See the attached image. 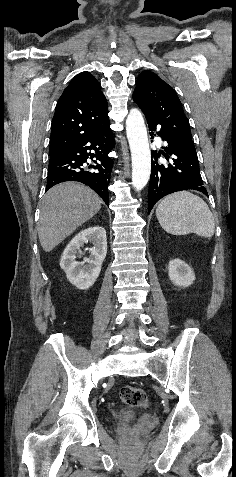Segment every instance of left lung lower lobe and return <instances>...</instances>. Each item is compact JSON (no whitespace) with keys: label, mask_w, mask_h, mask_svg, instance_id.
<instances>
[{"label":"left lung lower lobe","mask_w":236,"mask_h":477,"mask_svg":"<svg viewBox=\"0 0 236 477\" xmlns=\"http://www.w3.org/2000/svg\"><path fill=\"white\" fill-rule=\"evenodd\" d=\"M146 120L149 131H151V137L156 136L154 131L157 125L148 119ZM157 134L163 141L167 142V146L162 147L164 150L159 153L156 151L152 153L153 160L149 183L148 214L158 200L173 192L193 189L208 196L200 175L197 154L179 147L169 140L161 131ZM161 154L168 160L167 165L158 164L157 160Z\"/></svg>","instance_id":"obj_1"}]
</instances>
